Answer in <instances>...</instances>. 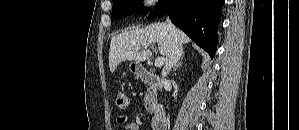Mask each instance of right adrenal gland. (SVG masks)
Segmentation results:
<instances>
[{
  "label": "right adrenal gland",
  "mask_w": 299,
  "mask_h": 130,
  "mask_svg": "<svg viewBox=\"0 0 299 130\" xmlns=\"http://www.w3.org/2000/svg\"><path fill=\"white\" fill-rule=\"evenodd\" d=\"M182 59L183 56L181 57V59L178 61V63L173 67L172 71L175 72L181 65H182Z\"/></svg>",
  "instance_id": "2a0ac1e0"
}]
</instances>
